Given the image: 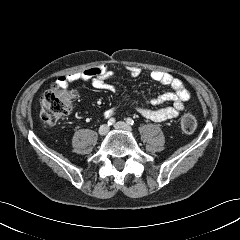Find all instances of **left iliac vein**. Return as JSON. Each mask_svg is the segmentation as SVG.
I'll return each mask as SVG.
<instances>
[{"instance_id": "obj_1", "label": "left iliac vein", "mask_w": 240, "mask_h": 240, "mask_svg": "<svg viewBox=\"0 0 240 240\" xmlns=\"http://www.w3.org/2000/svg\"><path fill=\"white\" fill-rule=\"evenodd\" d=\"M114 127L116 128V129H119V130H125V131H128V132H131L132 131V129H131V127L128 125V124H126V123H124V122H117L115 125H114Z\"/></svg>"}]
</instances>
